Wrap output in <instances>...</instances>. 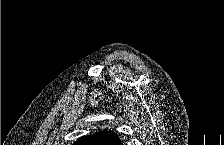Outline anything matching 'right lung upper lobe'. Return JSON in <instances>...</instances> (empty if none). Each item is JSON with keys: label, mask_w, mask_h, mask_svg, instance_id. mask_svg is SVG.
Returning a JSON list of instances; mask_svg holds the SVG:
<instances>
[{"label": "right lung upper lobe", "mask_w": 224, "mask_h": 145, "mask_svg": "<svg viewBox=\"0 0 224 145\" xmlns=\"http://www.w3.org/2000/svg\"><path fill=\"white\" fill-rule=\"evenodd\" d=\"M121 140L113 131L104 130L90 136H83L75 145H120Z\"/></svg>", "instance_id": "1"}]
</instances>
